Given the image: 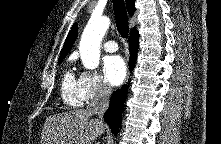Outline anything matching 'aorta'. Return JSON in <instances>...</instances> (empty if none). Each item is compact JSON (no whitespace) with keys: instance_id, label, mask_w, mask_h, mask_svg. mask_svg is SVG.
Segmentation results:
<instances>
[{"instance_id":"obj_1","label":"aorta","mask_w":221,"mask_h":144,"mask_svg":"<svg viewBox=\"0 0 221 144\" xmlns=\"http://www.w3.org/2000/svg\"><path fill=\"white\" fill-rule=\"evenodd\" d=\"M110 25L107 17L92 16L81 37L79 52L85 68L93 70L100 61V44Z\"/></svg>"}]
</instances>
